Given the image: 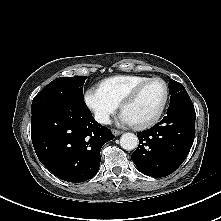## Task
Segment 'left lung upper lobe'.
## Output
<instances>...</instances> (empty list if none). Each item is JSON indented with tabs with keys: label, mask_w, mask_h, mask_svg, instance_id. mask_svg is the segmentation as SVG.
Listing matches in <instances>:
<instances>
[{
	"label": "left lung upper lobe",
	"mask_w": 221,
	"mask_h": 221,
	"mask_svg": "<svg viewBox=\"0 0 221 221\" xmlns=\"http://www.w3.org/2000/svg\"><path fill=\"white\" fill-rule=\"evenodd\" d=\"M169 91L171 95L170 105L180 104L191 100L184 86L172 79L169 82Z\"/></svg>",
	"instance_id": "5c2ea615"
}]
</instances>
